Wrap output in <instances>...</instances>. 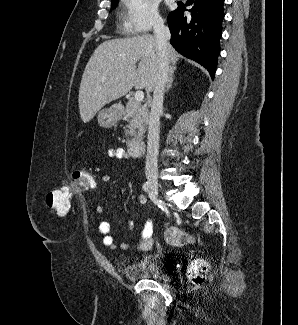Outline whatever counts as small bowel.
<instances>
[{
    "instance_id": "1",
    "label": "small bowel",
    "mask_w": 298,
    "mask_h": 325,
    "mask_svg": "<svg viewBox=\"0 0 298 325\" xmlns=\"http://www.w3.org/2000/svg\"><path fill=\"white\" fill-rule=\"evenodd\" d=\"M107 154L110 158L118 159V160H128L130 158L129 155L127 154V152L121 147H111L108 149ZM100 178L103 182H110L112 176L109 172H102L100 175ZM138 201H139V203L144 204V202H145L144 196L140 195L138 197ZM96 210L99 214L105 213V207L102 204H99L97 206ZM128 226L130 229L133 228V224L131 221H128ZM98 229H99L100 234L102 235L103 245L106 247L113 248V249L116 248L117 246L114 242V238L110 234V231H111L110 223L108 221H102V222H100ZM148 236H152V223L150 221L146 222L144 229L142 231V238L148 237ZM120 247L122 249H126V248H128V244L123 243L120 245Z\"/></svg>"
}]
</instances>
